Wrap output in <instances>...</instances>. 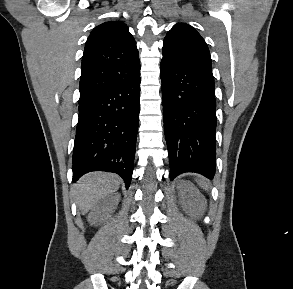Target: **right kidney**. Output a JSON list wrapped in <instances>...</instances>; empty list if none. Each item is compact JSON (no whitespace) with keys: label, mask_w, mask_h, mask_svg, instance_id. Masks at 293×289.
<instances>
[{"label":"right kidney","mask_w":293,"mask_h":289,"mask_svg":"<svg viewBox=\"0 0 293 289\" xmlns=\"http://www.w3.org/2000/svg\"><path fill=\"white\" fill-rule=\"evenodd\" d=\"M100 213H101V207L99 205L94 207L88 216V221L91 222L92 224H95L97 220L99 219Z\"/></svg>","instance_id":"right-kidney-1"}]
</instances>
